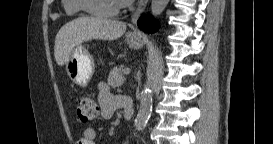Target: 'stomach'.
Wrapping results in <instances>:
<instances>
[{"label": "stomach", "instance_id": "stomach-1", "mask_svg": "<svg viewBox=\"0 0 273 144\" xmlns=\"http://www.w3.org/2000/svg\"><path fill=\"white\" fill-rule=\"evenodd\" d=\"M126 41L129 47L139 49L142 46L141 37L128 35ZM66 71L69 78L81 87H86L91 80L95 63L88 50L82 46H76L66 62Z\"/></svg>", "mask_w": 273, "mask_h": 144}]
</instances>
